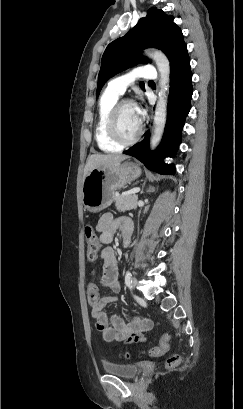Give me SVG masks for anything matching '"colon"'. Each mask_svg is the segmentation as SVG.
<instances>
[{"label": "colon", "mask_w": 243, "mask_h": 409, "mask_svg": "<svg viewBox=\"0 0 243 409\" xmlns=\"http://www.w3.org/2000/svg\"><path fill=\"white\" fill-rule=\"evenodd\" d=\"M84 235L87 242V255L89 258H95L100 250L101 243L97 234L95 233L92 225H87L84 228ZM87 298L90 305H95L99 302L100 295L99 291L94 286H89L87 289ZM169 340L170 336L164 334L159 342V344L150 349V353L154 356L160 355L168 351L169 349ZM126 358L129 357V354L124 355ZM181 356L179 354H173L168 357L166 365L169 369L177 367L180 363Z\"/></svg>", "instance_id": "obj_1"}]
</instances>
